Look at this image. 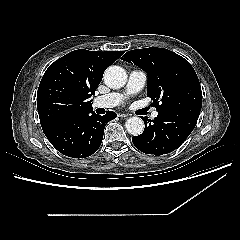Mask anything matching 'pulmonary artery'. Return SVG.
<instances>
[{"mask_svg":"<svg viewBox=\"0 0 240 240\" xmlns=\"http://www.w3.org/2000/svg\"><path fill=\"white\" fill-rule=\"evenodd\" d=\"M147 81V75L142 70H132L129 74L125 89L122 92H112L96 97L93 105L101 108H111L122 104L128 97L140 92ZM158 116L157 111L152 112V117Z\"/></svg>","mask_w":240,"mask_h":240,"instance_id":"pulmonary-artery-1","label":"pulmonary artery"}]
</instances>
